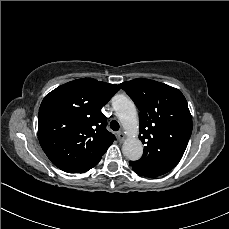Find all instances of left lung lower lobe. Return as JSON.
<instances>
[{"mask_svg":"<svg viewBox=\"0 0 229 229\" xmlns=\"http://www.w3.org/2000/svg\"><path fill=\"white\" fill-rule=\"evenodd\" d=\"M129 164L137 174L143 175V176H146V177H152V175L149 174L148 172L138 168L133 161H130Z\"/></svg>","mask_w":229,"mask_h":229,"instance_id":"left-lung-lower-lobe-1","label":"left lung lower lobe"}]
</instances>
